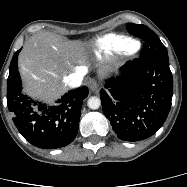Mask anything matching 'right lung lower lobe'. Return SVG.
I'll return each instance as SVG.
<instances>
[{"label": "right lung lower lobe", "instance_id": "98d812e1", "mask_svg": "<svg viewBox=\"0 0 187 187\" xmlns=\"http://www.w3.org/2000/svg\"><path fill=\"white\" fill-rule=\"evenodd\" d=\"M21 50V49H20ZM18 50L11 61L7 80V106L18 131L32 145L55 149L70 144L76 137L86 86L71 90L54 106H47L25 95L17 67Z\"/></svg>", "mask_w": 187, "mask_h": 187}]
</instances>
